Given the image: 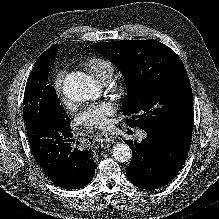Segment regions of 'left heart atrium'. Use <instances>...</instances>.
<instances>
[{"instance_id":"obj_1","label":"left heart atrium","mask_w":219,"mask_h":219,"mask_svg":"<svg viewBox=\"0 0 219 219\" xmlns=\"http://www.w3.org/2000/svg\"><path fill=\"white\" fill-rule=\"evenodd\" d=\"M116 107L111 102H101L87 107L79 115V121L89 127L104 128L110 122Z\"/></svg>"}]
</instances>
